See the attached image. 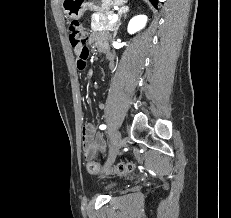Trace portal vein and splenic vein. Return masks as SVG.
<instances>
[{"mask_svg":"<svg viewBox=\"0 0 231 218\" xmlns=\"http://www.w3.org/2000/svg\"><path fill=\"white\" fill-rule=\"evenodd\" d=\"M118 19V15H113V17H110L109 18V21L107 24H112V23H115Z\"/></svg>","mask_w":231,"mask_h":218,"instance_id":"portal-vein-and-splenic-vein-1","label":"portal vein and splenic vein"}]
</instances>
